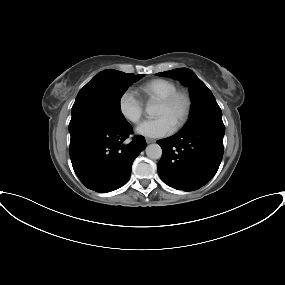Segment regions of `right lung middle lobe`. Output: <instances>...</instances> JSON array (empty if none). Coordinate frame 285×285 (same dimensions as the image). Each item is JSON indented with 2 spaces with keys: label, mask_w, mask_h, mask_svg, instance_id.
I'll return each instance as SVG.
<instances>
[{
  "label": "right lung middle lobe",
  "mask_w": 285,
  "mask_h": 285,
  "mask_svg": "<svg viewBox=\"0 0 285 285\" xmlns=\"http://www.w3.org/2000/svg\"><path fill=\"white\" fill-rule=\"evenodd\" d=\"M144 75L104 70L90 80L78 93L72 107L69 131L86 123H101L121 128L129 123L120 109V99L126 89Z\"/></svg>",
  "instance_id": "right-lung-middle-lobe-1"
}]
</instances>
